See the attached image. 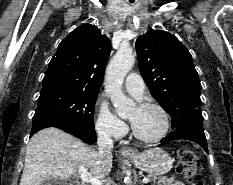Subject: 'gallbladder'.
Wrapping results in <instances>:
<instances>
[{"label": "gallbladder", "instance_id": "1", "mask_svg": "<svg viewBox=\"0 0 233 185\" xmlns=\"http://www.w3.org/2000/svg\"><path fill=\"white\" fill-rule=\"evenodd\" d=\"M42 185H75L73 182L61 180L59 178H51L42 183Z\"/></svg>", "mask_w": 233, "mask_h": 185}]
</instances>
